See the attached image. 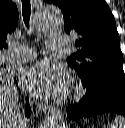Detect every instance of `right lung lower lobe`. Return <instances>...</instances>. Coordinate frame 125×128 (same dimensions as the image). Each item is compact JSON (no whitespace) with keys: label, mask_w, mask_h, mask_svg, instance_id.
Listing matches in <instances>:
<instances>
[{"label":"right lung lower lobe","mask_w":125,"mask_h":128,"mask_svg":"<svg viewBox=\"0 0 125 128\" xmlns=\"http://www.w3.org/2000/svg\"><path fill=\"white\" fill-rule=\"evenodd\" d=\"M16 85H17V83H16ZM28 102H29V101H28V98H26V105H25V108H26L25 116H26V117H29L30 114H31V108H30V105H29Z\"/></svg>","instance_id":"1"}]
</instances>
